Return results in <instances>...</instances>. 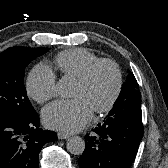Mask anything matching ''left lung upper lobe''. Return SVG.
Listing matches in <instances>:
<instances>
[{"label":"left lung upper lobe","instance_id":"left-lung-upper-lobe-1","mask_svg":"<svg viewBox=\"0 0 168 168\" xmlns=\"http://www.w3.org/2000/svg\"><path fill=\"white\" fill-rule=\"evenodd\" d=\"M127 81L122 85L119 97L109 113L121 112L130 109L141 110V94L139 86L132 72L128 71Z\"/></svg>","mask_w":168,"mask_h":168}]
</instances>
